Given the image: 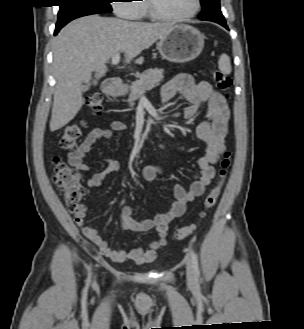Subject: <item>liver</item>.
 I'll return each instance as SVG.
<instances>
[{
    "instance_id": "1",
    "label": "liver",
    "mask_w": 304,
    "mask_h": 329,
    "mask_svg": "<svg viewBox=\"0 0 304 329\" xmlns=\"http://www.w3.org/2000/svg\"><path fill=\"white\" fill-rule=\"evenodd\" d=\"M173 27L169 23L131 22L90 15L67 24L53 43V69L56 79L50 130L67 125L83 105L82 83L93 72L104 76L106 63L113 55L124 53L129 63ZM143 57L135 60L142 64Z\"/></svg>"
}]
</instances>
